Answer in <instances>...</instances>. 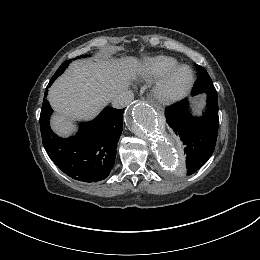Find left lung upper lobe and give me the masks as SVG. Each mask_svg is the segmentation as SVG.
<instances>
[{
	"instance_id": "1",
	"label": "left lung upper lobe",
	"mask_w": 260,
	"mask_h": 260,
	"mask_svg": "<svg viewBox=\"0 0 260 260\" xmlns=\"http://www.w3.org/2000/svg\"><path fill=\"white\" fill-rule=\"evenodd\" d=\"M198 71L197 81L192 90V94L206 93L216 91L213 82L207 71L200 65L195 64Z\"/></svg>"
}]
</instances>
